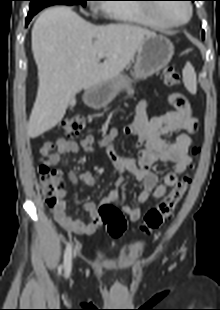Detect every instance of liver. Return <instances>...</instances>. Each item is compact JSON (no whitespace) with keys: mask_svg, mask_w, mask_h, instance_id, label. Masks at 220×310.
<instances>
[{"mask_svg":"<svg viewBox=\"0 0 220 310\" xmlns=\"http://www.w3.org/2000/svg\"><path fill=\"white\" fill-rule=\"evenodd\" d=\"M155 35L129 24L96 26L68 7L42 12L32 28L39 84L28 136L36 138L55 127L81 90L120 76L143 41ZM101 52L105 60L99 63Z\"/></svg>","mask_w":220,"mask_h":310,"instance_id":"1","label":"liver"}]
</instances>
